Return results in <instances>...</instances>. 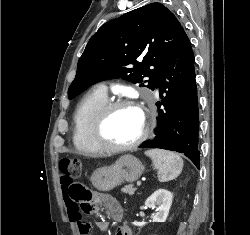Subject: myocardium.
I'll return each mask as SVG.
<instances>
[{
	"label": "myocardium",
	"instance_id": "f54148a6",
	"mask_svg": "<svg viewBox=\"0 0 250 235\" xmlns=\"http://www.w3.org/2000/svg\"><path fill=\"white\" fill-rule=\"evenodd\" d=\"M119 108H135L142 112L143 127L140 134L135 140L127 144H113L104 135L105 125L113 111ZM149 130V116L140 108V106L128 98H121L107 101L96 113L91 124V138L93 142L104 151L108 152H124L135 149L147 137Z\"/></svg>",
	"mask_w": 250,
	"mask_h": 235
}]
</instances>
